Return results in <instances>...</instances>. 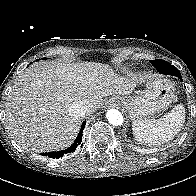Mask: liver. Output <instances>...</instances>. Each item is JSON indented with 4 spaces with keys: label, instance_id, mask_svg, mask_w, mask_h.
<instances>
[{
    "label": "liver",
    "instance_id": "liver-1",
    "mask_svg": "<svg viewBox=\"0 0 196 196\" xmlns=\"http://www.w3.org/2000/svg\"><path fill=\"white\" fill-rule=\"evenodd\" d=\"M138 82L126 69L121 73L95 62L44 63L26 69L15 80L6 103V128L23 149L46 152L70 146L79 118L70 105L83 101L87 114L109 95H129Z\"/></svg>",
    "mask_w": 196,
    "mask_h": 196
}]
</instances>
